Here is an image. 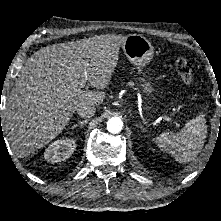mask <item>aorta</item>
<instances>
[{"mask_svg":"<svg viewBox=\"0 0 221 221\" xmlns=\"http://www.w3.org/2000/svg\"><path fill=\"white\" fill-rule=\"evenodd\" d=\"M123 128V121L119 117H112L107 122V130L112 134L119 133Z\"/></svg>","mask_w":221,"mask_h":221,"instance_id":"1","label":"aorta"}]
</instances>
